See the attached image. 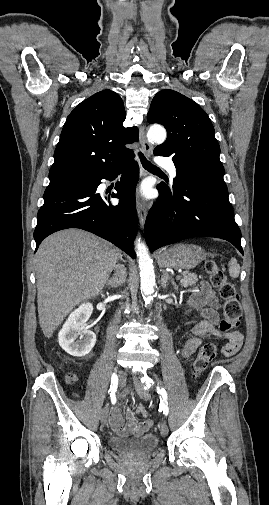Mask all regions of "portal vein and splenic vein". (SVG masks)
Wrapping results in <instances>:
<instances>
[{"label":"portal vein and splenic vein","instance_id":"1","mask_svg":"<svg viewBox=\"0 0 269 505\" xmlns=\"http://www.w3.org/2000/svg\"><path fill=\"white\" fill-rule=\"evenodd\" d=\"M176 279L177 280L181 279V275L176 276Z\"/></svg>","mask_w":269,"mask_h":505}]
</instances>
